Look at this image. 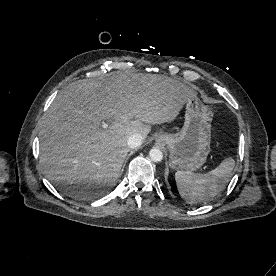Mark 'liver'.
<instances>
[{
	"instance_id": "6515ba94",
	"label": "liver",
	"mask_w": 276,
	"mask_h": 276,
	"mask_svg": "<svg viewBox=\"0 0 276 276\" xmlns=\"http://www.w3.org/2000/svg\"><path fill=\"white\" fill-rule=\"evenodd\" d=\"M196 92L164 75L116 73L64 88L40 126V162L47 179L69 196L90 199L114 186L130 150L151 125L171 122ZM106 121L107 128H101ZM69 188L77 190L68 191Z\"/></svg>"
}]
</instances>
